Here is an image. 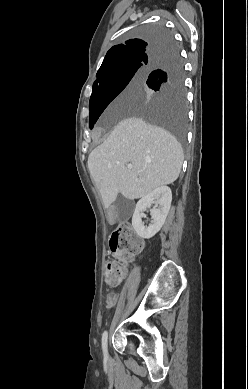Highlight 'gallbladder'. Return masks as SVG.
<instances>
[{
  "label": "gallbladder",
  "instance_id": "1",
  "mask_svg": "<svg viewBox=\"0 0 248 389\" xmlns=\"http://www.w3.org/2000/svg\"><path fill=\"white\" fill-rule=\"evenodd\" d=\"M115 204L120 208L119 220L125 219L131 208V202L122 195H119L115 200Z\"/></svg>",
  "mask_w": 248,
  "mask_h": 389
}]
</instances>
